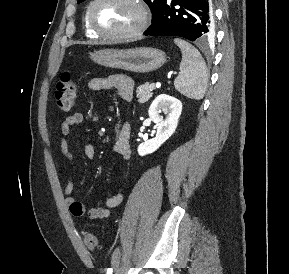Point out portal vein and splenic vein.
<instances>
[{
	"mask_svg": "<svg viewBox=\"0 0 289 274\" xmlns=\"http://www.w3.org/2000/svg\"><path fill=\"white\" fill-rule=\"evenodd\" d=\"M157 85H160V83H151V87H152V89H155V87L157 86Z\"/></svg>",
	"mask_w": 289,
	"mask_h": 274,
	"instance_id": "1",
	"label": "portal vein and splenic vein"
}]
</instances>
